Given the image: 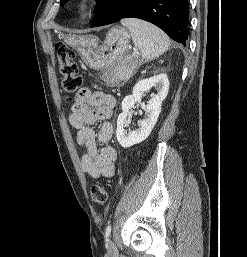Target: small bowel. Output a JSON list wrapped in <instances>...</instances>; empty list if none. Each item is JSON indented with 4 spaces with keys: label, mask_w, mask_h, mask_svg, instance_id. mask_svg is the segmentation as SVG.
<instances>
[{
    "label": "small bowel",
    "mask_w": 247,
    "mask_h": 257,
    "mask_svg": "<svg viewBox=\"0 0 247 257\" xmlns=\"http://www.w3.org/2000/svg\"><path fill=\"white\" fill-rule=\"evenodd\" d=\"M114 106L115 98L112 95L93 92L85 87L77 92L71 107L69 122L77 131V143L83 147L81 167L95 179L114 175L117 153L109 145L113 136V126L109 120ZM98 122L100 126L96 131L93 125Z\"/></svg>",
    "instance_id": "c3829d8e"
}]
</instances>
